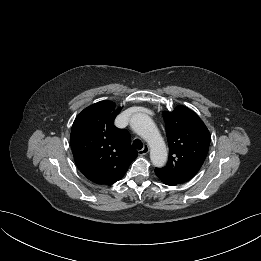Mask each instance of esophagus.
<instances>
[{"mask_svg": "<svg viewBox=\"0 0 261 261\" xmlns=\"http://www.w3.org/2000/svg\"><path fill=\"white\" fill-rule=\"evenodd\" d=\"M148 152H149V146H148V145H145V146L143 147V149H141V150L138 151V154H139L140 156H144V155L148 154Z\"/></svg>", "mask_w": 261, "mask_h": 261, "instance_id": "1", "label": "esophagus"}]
</instances>
